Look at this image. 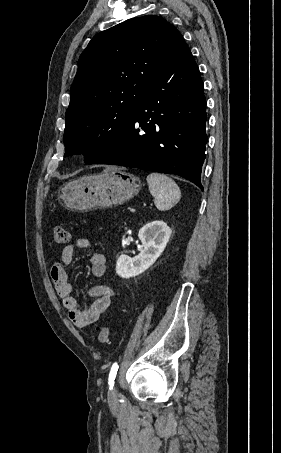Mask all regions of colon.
<instances>
[{
	"label": "colon",
	"instance_id": "1",
	"mask_svg": "<svg viewBox=\"0 0 281 453\" xmlns=\"http://www.w3.org/2000/svg\"><path fill=\"white\" fill-rule=\"evenodd\" d=\"M67 238L66 229L63 226L57 225L52 229V242L56 247L65 245ZM111 329L109 327H102L96 335V341L100 345L107 344L111 340Z\"/></svg>",
	"mask_w": 281,
	"mask_h": 453
}]
</instances>
